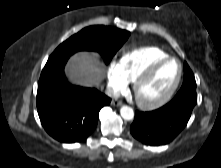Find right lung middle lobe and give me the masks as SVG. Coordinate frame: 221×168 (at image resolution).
I'll return each instance as SVG.
<instances>
[{"mask_svg": "<svg viewBox=\"0 0 221 168\" xmlns=\"http://www.w3.org/2000/svg\"><path fill=\"white\" fill-rule=\"evenodd\" d=\"M129 35L128 31L102 25L86 27L60 44L49 59L70 57L77 51L89 50L99 52L105 63H109Z\"/></svg>", "mask_w": 221, "mask_h": 168, "instance_id": "1", "label": "right lung middle lobe"}]
</instances>
